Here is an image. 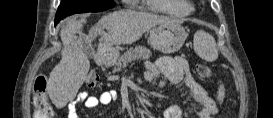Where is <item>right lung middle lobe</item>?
I'll list each match as a JSON object with an SVG mask.
<instances>
[{
  "instance_id": "right-lung-middle-lobe-1",
  "label": "right lung middle lobe",
  "mask_w": 273,
  "mask_h": 118,
  "mask_svg": "<svg viewBox=\"0 0 273 118\" xmlns=\"http://www.w3.org/2000/svg\"><path fill=\"white\" fill-rule=\"evenodd\" d=\"M113 6V0H62L56 15L69 16L76 13L100 12Z\"/></svg>"
}]
</instances>
